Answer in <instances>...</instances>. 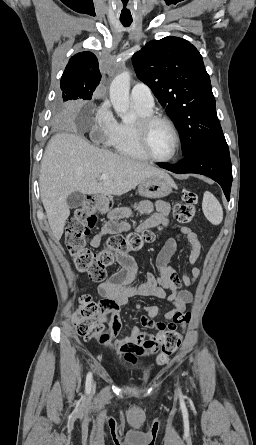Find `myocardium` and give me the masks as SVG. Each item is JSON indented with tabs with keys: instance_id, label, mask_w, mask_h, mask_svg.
Wrapping results in <instances>:
<instances>
[{
	"instance_id": "1",
	"label": "myocardium",
	"mask_w": 256,
	"mask_h": 445,
	"mask_svg": "<svg viewBox=\"0 0 256 445\" xmlns=\"http://www.w3.org/2000/svg\"><path fill=\"white\" fill-rule=\"evenodd\" d=\"M157 122H162L167 124L173 132L175 139V146L173 153L166 158H160L155 156L149 146L148 133L151 126ZM134 133L138 142V145L143 152V154L150 160L159 163H168L174 160L181 148V137L175 123L166 116L150 114L147 116L139 117V119L134 123Z\"/></svg>"
}]
</instances>
